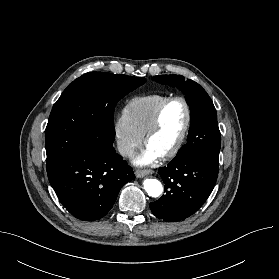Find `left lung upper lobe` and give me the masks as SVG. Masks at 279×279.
Instances as JSON below:
<instances>
[{
  "label": "left lung upper lobe",
  "mask_w": 279,
  "mask_h": 279,
  "mask_svg": "<svg viewBox=\"0 0 279 279\" xmlns=\"http://www.w3.org/2000/svg\"><path fill=\"white\" fill-rule=\"evenodd\" d=\"M153 80L183 90L190 108V129L188 142L178 151V155L195 154L218 163L221 134L217 114L211 98L193 80H184L181 75H159Z\"/></svg>",
  "instance_id": "5c2ea615"
}]
</instances>
